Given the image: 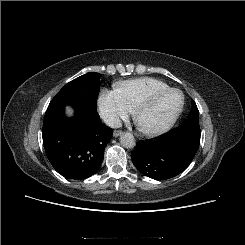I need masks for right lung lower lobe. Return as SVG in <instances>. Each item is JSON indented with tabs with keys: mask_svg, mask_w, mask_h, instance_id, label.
Wrapping results in <instances>:
<instances>
[{
	"mask_svg": "<svg viewBox=\"0 0 245 245\" xmlns=\"http://www.w3.org/2000/svg\"><path fill=\"white\" fill-rule=\"evenodd\" d=\"M66 104L48 106L43 122V144L54 169L62 176L83 180L95 174L113 130L102 124L97 110L87 104H69L75 116L64 119Z\"/></svg>",
	"mask_w": 245,
	"mask_h": 245,
	"instance_id": "1",
	"label": "right lung lower lobe"
}]
</instances>
